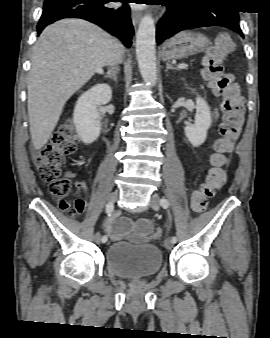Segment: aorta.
Listing matches in <instances>:
<instances>
[{
    "label": "aorta",
    "mask_w": 270,
    "mask_h": 338,
    "mask_svg": "<svg viewBox=\"0 0 270 338\" xmlns=\"http://www.w3.org/2000/svg\"><path fill=\"white\" fill-rule=\"evenodd\" d=\"M155 43L154 20L147 14L141 19L136 34V57L144 82L152 86L157 82Z\"/></svg>",
    "instance_id": "aorta-1"
}]
</instances>
